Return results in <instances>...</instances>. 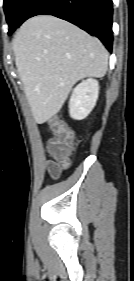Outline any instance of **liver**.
<instances>
[{"mask_svg": "<svg viewBox=\"0 0 134 281\" xmlns=\"http://www.w3.org/2000/svg\"><path fill=\"white\" fill-rule=\"evenodd\" d=\"M13 51L38 124L60 111L77 81L103 77L108 66V52L99 39L51 15L24 22L14 37Z\"/></svg>", "mask_w": 134, "mask_h": 281, "instance_id": "obj_1", "label": "liver"}]
</instances>
